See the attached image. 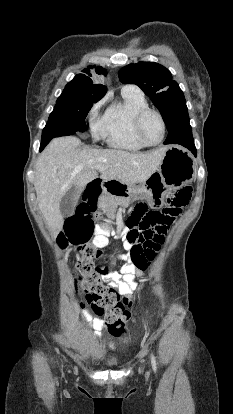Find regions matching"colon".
I'll list each match as a JSON object with an SVG mask.
<instances>
[{"label": "colon", "mask_w": 233, "mask_h": 414, "mask_svg": "<svg viewBox=\"0 0 233 414\" xmlns=\"http://www.w3.org/2000/svg\"><path fill=\"white\" fill-rule=\"evenodd\" d=\"M191 188L185 187L170 196L167 200L168 207L161 210L146 211L138 207L128 218V231L123 236L124 244L128 246V252L134 265L146 270L149 262L154 258L155 250L159 246L162 234L171 224L172 214L178 208L188 204ZM94 235V220L91 212L81 205L76 214L66 220L64 231L59 236V244L65 247L68 243L78 247L81 257L77 263L79 272L84 273L83 283L78 284L85 291H91L94 305H103L102 314L113 334L121 335L125 332L126 325L131 319L129 307L131 301L121 294H112L111 288L104 286V281L97 274L95 259L102 256V252L92 243ZM103 268V267H102ZM107 269V267H105ZM74 281L76 279L74 278Z\"/></svg>", "instance_id": "obj_1"}]
</instances>
